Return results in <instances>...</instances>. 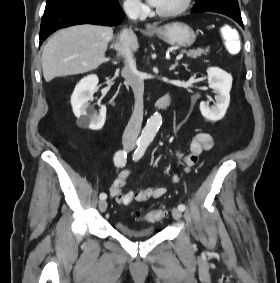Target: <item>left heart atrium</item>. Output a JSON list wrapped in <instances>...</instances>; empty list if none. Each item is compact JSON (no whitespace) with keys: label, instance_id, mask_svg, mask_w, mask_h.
<instances>
[{"label":"left heart atrium","instance_id":"obj_1","mask_svg":"<svg viewBox=\"0 0 280 283\" xmlns=\"http://www.w3.org/2000/svg\"><path fill=\"white\" fill-rule=\"evenodd\" d=\"M160 1L161 0H147V2L154 7H157L159 5Z\"/></svg>","mask_w":280,"mask_h":283}]
</instances>
